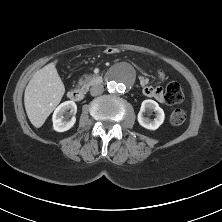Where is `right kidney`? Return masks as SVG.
<instances>
[{"label": "right kidney", "mask_w": 222, "mask_h": 222, "mask_svg": "<svg viewBox=\"0 0 222 222\" xmlns=\"http://www.w3.org/2000/svg\"><path fill=\"white\" fill-rule=\"evenodd\" d=\"M69 111V115H75L77 106L73 101H65L61 103L54 111L52 116L53 128L57 132H64L72 128L76 122L75 116L69 119V115L64 117V114Z\"/></svg>", "instance_id": "1"}]
</instances>
